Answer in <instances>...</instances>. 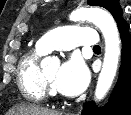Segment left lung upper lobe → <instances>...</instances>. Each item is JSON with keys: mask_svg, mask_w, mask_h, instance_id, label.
Here are the masks:
<instances>
[{"mask_svg": "<svg viewBox=\"0 0 131 115\" xmlns=\"http://www.w3.org/2000/svg\"><path fill=\"white\" fill-rule=\"evenodd\" d=\"M88 4L107 9L112 14L117 24L123 20V18H121L122 10L119 5V0H88Z\"/></svg>", "mask_w": 131, "mask_h": 115, "instance_id": "1", "label": "left lung upper lobe"}]
</instances>
